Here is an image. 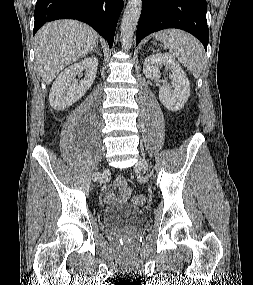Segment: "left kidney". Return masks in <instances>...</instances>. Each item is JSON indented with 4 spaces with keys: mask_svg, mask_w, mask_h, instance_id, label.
<instances>
[{
    "mask_svg": "<svg viewBox=\"0 0 253 285\" xmlns=\"http://www.w3.org/2000/svg\"><path fill=\"white\" fill-rule=\"evenodd\" d=\"M165 66L172 72L171 84L159 85V100L171 111H178L190 96V83L175 58L168 53H156L144 60L143 71L147 78L158 79L159 67Z\"/></svg>",
    "mask_w": 253,
    "mask_h": 285,
    "instance_id": "1",
    "label": "left kidney"
}]
</instances>
